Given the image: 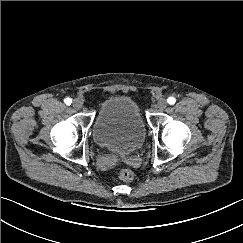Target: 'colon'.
Returning a JSON list of instances; mask_svg holds the SVG:
<instances>
[{
    "label": "colon",
    "mask_w": 243,
    "mask_h": 243,
    "mask_svg": "<svg viewBox=\"0 0 243 243\" xmlns=\"http://www.w3.org/2000/svg\"><path fill=\"white\" fill-rule=\"evenodd\" d=\"M119 177L124 182H131L134 179V174L128 168H121L119 170Z\"/></svg>",
    "instance_id": "obj_1"
}]
</instances>
